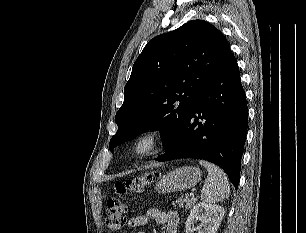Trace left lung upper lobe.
<instances>
[{"instance_id":"5c2ea615","label":"left lung upper lobe","mask_w":306,"mask_h":233,"mask_svg":"<svg viewBox=\"0 0 306 233\" xmlns=\"http://www.w3.org/2000/svg\"><path fill=\"white\" fill-rule=\"evenodd\" d=\"M223 34L203 20L153 38L135 61L109 149L147 130L170 143L230 53Z\"/></svg>"}]
</instances>
